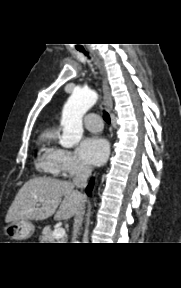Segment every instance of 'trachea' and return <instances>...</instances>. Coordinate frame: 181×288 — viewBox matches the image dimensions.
Segmentation results:
<instances>
[{
	"label": "trachea",
	"mask_w": 181,
	"mask_h": 288,
	"mask_svg": "<svg viewBox=\"0 0 181 288\" xmlns=\"http://www.w3.org/2000/svg\"><path fill=\"white\" fill-rule=\"evenodd\" d=\"M78 50L83 52L85 55H88L84 49L78 48ZM103 119L105 120L106 123L110 124V116L106 111H104V113H103Z\"/></svg>",
	"instance_id": "obj_1"
}]
</instances>
